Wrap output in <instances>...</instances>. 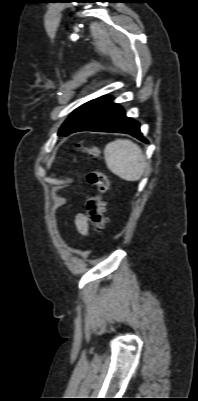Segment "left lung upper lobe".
Here are the masks:
<instances>
[{
    "label": "left lung upper lobe",
    "mask_w": 198,
    "mask_h": 401,
    "mask_svg": "<svg viewBox=\"0 0 198 401\" xmlns=\"http://www.w3.org/2000/svg\"><path fill=\"white\" fill-rule=\"evenodd\" d=\"M93 101V100H92ZM89 101L85 104H83L82 106H80L79 108H77L75 111H73V113L70 115V117L63 123V125L61 126L58 135L65 133L69 127L73 124V122L78 118V116L85 110V108L92 102Z\"/></svg>",
    "instance_id": "1"
}]
</instances>
